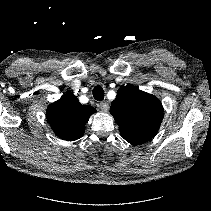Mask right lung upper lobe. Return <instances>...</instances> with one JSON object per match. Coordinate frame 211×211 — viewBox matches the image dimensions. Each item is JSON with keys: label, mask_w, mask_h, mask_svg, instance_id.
<instances>
[{"label": "right lung upper lobe", "mask_w": 211, "mask_h": 211, "mask_svg": "<svg viewBox=\"0 0 211 211\" xmlns=\"http://www.w3.org/2000/svg\"><path fill=\"white\" fill-rule=\"evenodd\" d=\"M95 112V108L82 105L77 96L68 92L48 106L46 118L59 138L74 141L83 136L86 122Z\"/></svg>", "instance_id": "right-lung-upper-lobe-1"}]
</instances>
